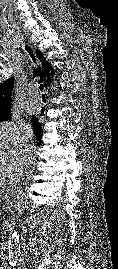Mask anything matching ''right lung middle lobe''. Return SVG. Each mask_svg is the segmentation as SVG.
Masks as SVG:
<instances>
[{"label": "right lung middle lobe", "mask_w": 118, "mask_h": 269, "mask_svg": "<svg viewBox=\"0 0 118 269\" xmlns=\"http://www.w3.org/2000/svg\"><path fill=\"white\" fill-rule=\"evenodd\" d=\"M11 117V106L5 105L0 107V122L6 121Z\"/></svg>", "instance_id": "1"}]
</instances>
